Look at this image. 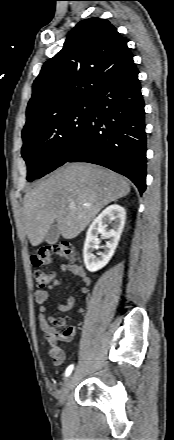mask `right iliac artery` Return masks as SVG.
Instances as JSON below:
<instances>
[{
	"label": "right iliac artery",
	"instance_id": "1",
	"mask_svg": "<svg viewBox=\"0 0 174 440\" xmlns=\"http://www.w3.org/2000/svg\"><path fill=\"white\" fill-rule=\"evenodd\" d=\"M73 368H74V365H70V366L66 369V371H65V376H66V377L69 376V375L71 374Z\"/></svg>",
	"mask_w": 174,
	"mask_h": 440
}]
</instances>
